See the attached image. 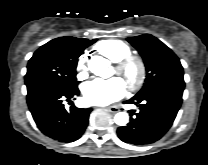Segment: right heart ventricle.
I'll return each mask as SVG.
<instances>
[{
    "label": "right heart ventricle",
    "mask_w": 208,
    "mask_h": 165,
    "mask_svg": "<svg viewBox=\"0 0 208 165\" xmlns=\"http://www.w3.org/2000/svg\"><path fill=\"white\" fill-rule=\"evenodd\" d=\"M96 50L113 62L131 54L128 44L118 39H105L96 45Z\"/></svg>",
    "instance_id": "obj_1"
}]
</instances>
